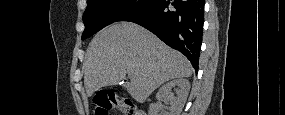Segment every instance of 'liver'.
I'll use <instances>...</instances> for the list:
<instances>
[{"label": "liver", "mask_w": 285, "mask_h": 115, "mask_svg": "<svg viewBox=\"0 0 285 115\" xmlns=\"http://www.w3.org/2000/svg\"><path fill=\"white\" fill-rule=\"evenodd\" d=\"M84 67L88 96L102 87L118 84L128 73L130 82L124 88L140 103L164 82L190 77L193 72L180 52L130 22L112 24L100 31L89 44Z\"/></svg>", "instance_id": "1"}]
</instances>
